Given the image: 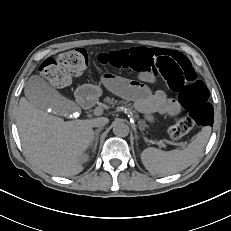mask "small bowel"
I'll return each mask as SVG.
<instances>
[{"label": "small bowel", "mask_w": 231, "mask_h": 231, "mask_svg": "<svg viewBox=\"0 0 231 231\" xmlns=\"http://www.w3.org/2000/svg\"><path fill=\"white\" fill-rule=\"evenodd\" d=\"M101 82L110 92L121 97L131 99L138 109L147 112H164L176 115L180 108L178 103L166 97L162 91L150 93L147 87L136 81H131L111 73H103Z\"/></svg>", "instance_id": "obj_1"}]
</instances>
